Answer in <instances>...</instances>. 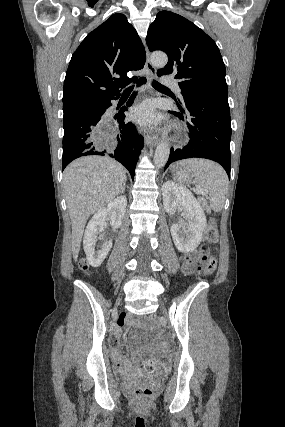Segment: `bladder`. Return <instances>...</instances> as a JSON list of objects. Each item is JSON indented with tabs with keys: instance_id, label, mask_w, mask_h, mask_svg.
Listing matches in <instances>:
<instances>
[{
	"instance_id": "obj_1",
	"label": "bladder",
	"mask_w": 285,
	"mask_h": 427,
	"mask_svg": "<svg viewBox=\"0 0 285 427\" xmlns=\"http://www.w3.org/2000/svg\"><path fill=\"white\" fill-rule=\"evenodd\" d=\"M136 371L135 370H131L130 372L127 373V378H132L135 375ZM145 377L151 378V379H159L161 378V374L159 373H148V374H143Z\"/></svg>"
}]
</instances>
